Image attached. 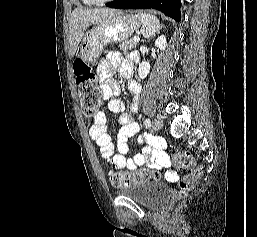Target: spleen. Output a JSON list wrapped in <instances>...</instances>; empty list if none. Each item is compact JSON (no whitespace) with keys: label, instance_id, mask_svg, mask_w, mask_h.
<instances>
[{"label":"spleen","instance_id":"3e777b00","mask_svg":"<svg viewBox=\"0 0 257 237\" xmlns=\"http://www.w3.org/2000/svg\"><path fill=\"white\" fill-rule=\"evenodd\" d=\"M137 17L142 23L140 32L143 37L148 38L158 32L160 28V23L154 15H150L147 13H138Z\"/></svg>","mask_w":257,"mask_h":237}]
</instances>
